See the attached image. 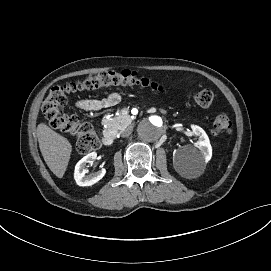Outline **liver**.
<instances>
[{"label": "liver", "mask_w": 271, "mask_h": 271, "mask_svg": "<svg viewBox=\"0 0 271 271\" xmlns=\"http://www.w3.org/2000/svg\"><path fill=\"white\" fill-rule=\"evenodd\" d=\"M37 137L40 151L49 169L58 178H62L70 159L71 144L43 123L37 127Z\"/></svg>", "instance_id": "6515ba94"}]
</instances>
